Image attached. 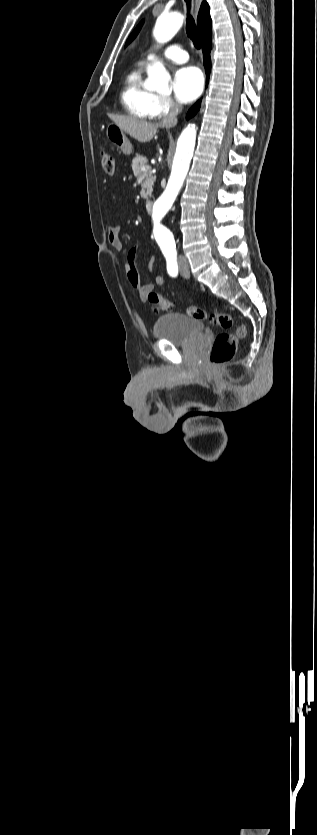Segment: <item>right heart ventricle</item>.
I'll use <instances>...</instances> for the list:
<instances>
[{
	"label": "right heart ventricle",
	"mask_w": 317,
	"mask_h": 835,
	"mask_svg": "<svg viewBox=\"0 0 317 835\" xmlns=\"http://www.w3.org/2000/svg\"><path fill=\"white\" fill-rule=\"evenodd\" d=\"M156 96L144 86L139 66L128 72L120 93L121 102L128 114L140 119L152 118V107Z\"/></svg>",
	"instance_id": "obj_1"
}]
</instances>
